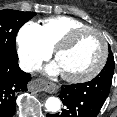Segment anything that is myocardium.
<instances>
[{"mask_svg": "<svg viewBox=\"0 0 117 117\" xmlns=\"http://www.w3.org/2000/svg\"><path fill=\"white\" fill-rule=\"evenodd\" d=\"M89 32L97 35L101 41V44H102L101 58L93 69H91L90 71H88L82 75L62 74L63 79L68 82L82 83V82H86V81H89V80L95 78L102 71V69L104 68V66L107 62L109 51H108V44L105 39V36L98 29L90 27V26L72 30L69 33H67L61 40H59L58 43L53 48L54 58L57 59L58 54L62 50L69 47L80 35H82L84 33H89Z\"/></svg>", "mask_w": 117, "mask_h": 117, "instance_id": "1", "label": "myocardium"}]
</instances>
